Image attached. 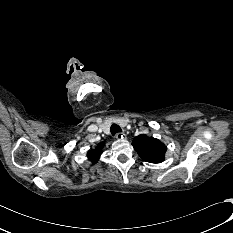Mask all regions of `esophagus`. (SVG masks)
<instances>
[{
  "mask_svg": "<svg viewBox=\"0 0 233 233\" xmlns=\"http://www.w3.org/2000/svg\"><path fill=\"white\" fill-rule=\"evenodd\" d=\"M115 138H116L117 140H124V139H126V135H125L124 133H122V132H119V133H117V134L115 135Z\"/></svg>",
  "mask_w": 233,
  "mask_h": 233,
  "instance_id": "obj_1",
  "label": "esophagus"
}]
</instances>
